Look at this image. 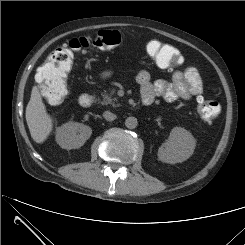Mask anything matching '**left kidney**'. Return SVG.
Masks as SVG:
<instances>
[{"label":"left kidney","instance_id":"1","mask_svg":"<svg viewBox=\"0 0 245 245\" xmlns=\"http://www.w3.org/2000/svg\"><path fill=\"white\" fill-rule=\"evenodd\" d=\"M196 140L182 127H174L168 140L158 149L160 161L175 164L187 160L194 152Z\"/></svg>","mask_w":245,"mask_h":245}]
</instances>
